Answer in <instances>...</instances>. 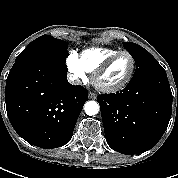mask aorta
<instances>
[{
	"mask_svg": "<svg viewBox=\"0 0 178 178\" xmlns=\"http://www.w3.org/2000/svg\"><path fill=\"white\" fill-rule=\"evenodd\" d=\"M85 113L94 116L99 112V104L96 101H88L84 105Z\"/></svg>",
	"mask_w": 178,
	"mask_h": 178,
	"instance_id": "762f6f07",
	"label": "aorta"
}]
</instances>
